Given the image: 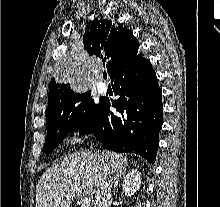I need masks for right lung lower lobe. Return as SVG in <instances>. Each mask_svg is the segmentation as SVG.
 Listing matches in <instances>:
<instances>
[{"instance_id": "1", "label": "right lung lower lobe", "mask_w": 220, "mask_h": 207, "mask_svg": "<svg viewBox=\"0 0 220 207\" xmlns=\"http://www.w3.org/2000/svg\"><path fill=\"white\" fill-rule=\"evenodd\" d=\"M120 98L102 99L92 118L80 129L93 133L109 150L136 153L154 163L162 127V91L150 61L142 54L124 63L112 78ZM113 106L120 113L114 115Z\"/></svg>"}]
</instances>
